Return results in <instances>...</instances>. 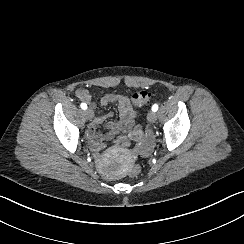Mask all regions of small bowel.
I'll list each match as a JSON object with an SVG mask.
<instances>
[{
  "label": "small bowel",
  "instance_id": "obj_1",
  "mask_svg": "<svg viewBox=\"0 0 244 244\" xmlns=\"http://www.w3.org/2000/svg\"><path fill=\"white\" fill-rule=\"evenodd\" d=\"M78 100L86 102L90 105L91 111L95 113V105L92 102L90 92L85 88H79L76 91ZM100 100L103 105L116 104L119 108V120L109 121L106 124L107 133L99 134L96 132L97 128L105 121L106 118L112 116V113L106 115H95L93 123L90 127V134L98 141L111 140L116 134H127L131 131L135 121V111L126 96L118 95L115 93H105L100 95ZM154 134L152 131L147 130L144 132L143 137L139 142V150L142 155L147 156L151 152L152 140ZM119 139V138H118ZM118 141V140H117Z\"/></svg>",
  "mask_w": 244,
  "mask_h": 244
}]
</instances>
